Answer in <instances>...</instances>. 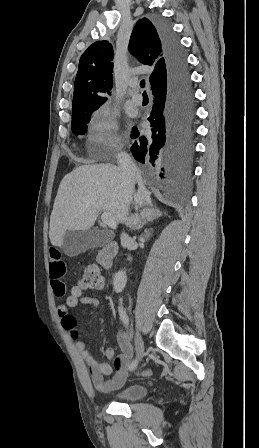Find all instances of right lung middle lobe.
Masks as SVG:
<instances>
[{
    "mask_svg": "<svg viewBox=\"0 0 259 448\" xmlns=\"http://www.w3.org/2000/svg\"><path fill=\"white\" fill-rule=\"evenodd\" d=\"M98 108L99 106L72 111V132L76 135L86 134L87 124L90 122L93 112Z\"/></svg>",
    "mask_w": 259,
    "mask_h": 448,
    "instance_id": "right-lung-middle-lobe-1",
    "label": "right lung middle lobe"
}]
</instances>
